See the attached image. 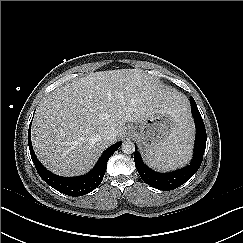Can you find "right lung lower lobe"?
Returning <instances> with one entry per match:
<instances>
[{
	"label": "right lung lower lobe",
	"instance_id": "98d812e1",
	"mask_svg": "<svg viewBox=\"0 0 243 243\" xmlns=\"http://www.w3.org/2000/svg\"><path fill=\"white\" fill-rule=\"evenodd\" d=\"M28 144L32 161L40 177L57 191L69 196H83L93 191L103 180L110 156L119 148L121 142L110 146L100 157L94 168L84 176L61 177L48 171L36 158L31 143V124L28 131Z\"/></svg>",
	"mask_w": 243,
	"mask_h": 243
}]
</instances>
